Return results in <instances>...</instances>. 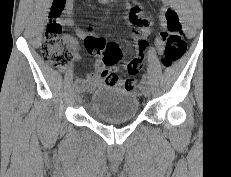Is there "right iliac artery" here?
Instances as JSON below:
<instances>
[{
	"label": "right iliac artery",
	"instance_id": "82829eb1",
	"mask_svg": "<svg viewBox=\"0 0 231 177\" xmlns=\"http://www.w3.org/2000/svg\"><path fill=\"white\" fill-rule=\"evenodd\" d=\"M79 82H80V80L76 79V81L74 82V86H76Z\"/></svg>",
	"mask_w": 231,
	"mask_h": 177
}]
</instances>
